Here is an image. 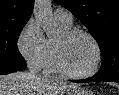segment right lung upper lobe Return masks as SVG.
Masks as SVG:
<instances>
[{
	"instance_id": "obj_1",
	"label": "right lung upper lobe",
	"mask_w": 119,
	"mask_h": 95,
	"mask_svg": "<svg viewBox=\"0 0 119 95\" xmlns=\"http://www.w3.org/2000/svg\"><path fill=\"white\" fill-rule=\"evenodd\" d=\"M34 0H0V26L27 22Z\"/></svg>"
}]
</instances>
